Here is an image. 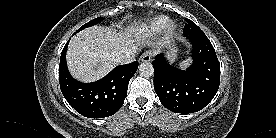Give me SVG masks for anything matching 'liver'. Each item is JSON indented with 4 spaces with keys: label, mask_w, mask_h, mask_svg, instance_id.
Here are the masks:
<instances>
[{
    "label": "liver",
    "mask_w": 276,
    "mask_h": 138,
    "mask_svg": "<svg viewBox=\"0 0 276 138\" xmlns=\"http://www.w3.org/2000/svg\"><path fill=\"white\" fill-rule=\"evenodd\" d=\"M147 29L141 24L127 27L124 32L93 26L72 37L67 50V65L72 76L83 82H93L108 74L118 62L117 52L137 48L146 42ZM169 40L156 44L165 46Z\"/></svg>",
    "instance_id": "liver-1"
}]
</instances>
